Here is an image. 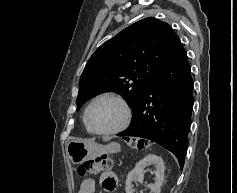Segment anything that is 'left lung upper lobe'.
Segmentation results:
<instances>
[{"mask_svg":"<svg viewBox=\"0 0 237 193\" xmlns=\"http://www.w3.org/2000/svg\"><path fill=\"white\" fill-rule=\"evenodd\" d=\"M180 44L169 24L152 17L122 30L87 62L79 81L77 109L99 93L114 91L136 113L150 84Z\"/></svg>","mask_w":237,"mask_h":193,"instance_id":"1","label":"left lung upper lobe"}]
</instances>
